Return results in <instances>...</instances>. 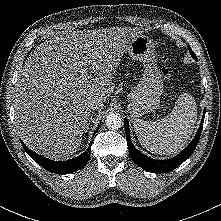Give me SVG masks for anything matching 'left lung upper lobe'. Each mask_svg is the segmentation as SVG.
Wrapping results in <instances>:
<instances>
[{"instance_id": "obj_1", "label": "left lung upper lobe", "mask_w": 221, "mask_h": 221, "mask_svg": "<svg viewBox=\"0 0 221 221\" xmlns=\"http://www.w3.org/2000/svg\"><path fill=\"white\" fill-rule=\"evenodd\" d=\"M189 51H190L192 57H193L195 60H197V56H196V54L191 50L190 47H189Z\"/></svg>"}]
</instances>
